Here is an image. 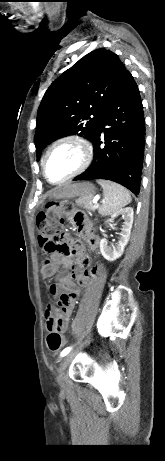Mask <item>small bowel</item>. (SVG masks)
Returning <instances> with one entry per match:
<instances>
[{
	"instance_id": "c3829d8e",
	"label": "small bowel",
	"mask_w": 165,
	"mask_h": 461,
	"mask_svg": "<svg viewBox=\"0 0 165 461\" xmlns=\"http://www.w3.org/2000/svg\"><path fill=\"white\" fill-rule=\"evenodd\" d=\"M87 209H69L68 215L72 223L77 227L80 235H82L89 247L95 249L98 246V237L91 231L90 224L85 218ZM68 244L71 245L72 251H60L50 254L49 260L56 269L63 267L64 269H72L71 273L65 271L60 272L56 282L48 286V291L53 296H59V308L54 305H48L45 311V326L49 332V324H53L56 319V314L59 310L62 315L59 324H53V328L59 331H65L76 302L81 294L80 286L86 285L90 279L97 273V268H84L86 264L85 254L81 246V237H68Z\"/></svg>"
}]
</instances>
